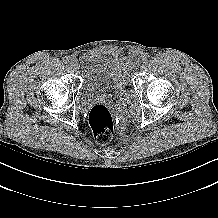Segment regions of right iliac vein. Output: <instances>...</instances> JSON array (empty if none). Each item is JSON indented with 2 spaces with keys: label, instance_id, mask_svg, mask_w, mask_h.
<instances>
[{
  "label": "right iliac vein",
  "instance_id": "obj_1",
  "mask_svg": "<svg viewBox=\"0 0 218 218\" xmlns=\"http://www.w3.org/2000/svg\"><path fill=\"white\" fill-rule=\"evenodd\" d=\"M70 66L73 70H77L78 67H79V63H78V60L76 58H71L70 61Z\"/></svg>",
  "mask_w": 218,
  "mask_h": 218
}]
</instances>
